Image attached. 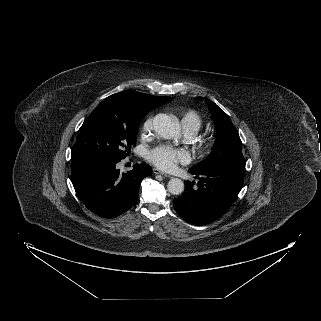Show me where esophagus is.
<instances>
[{"instance_id": "1", "label": "esophagus", "mask_w": 321, "mask_h": 321, "mask_svg": "<svg viewBox=\"0 0 321 321\" xmlns=\"http://www.w3.org/2000/svg\"><path fill=\"white\" fill-rule=\"evenodd\" d=\"M153 173H154V174H159V175H162V176H165V177L168 176L166 173L160 171V170L157 169V168H154V169H153ZM168 177H169V176H168Z\"/></svg>"}]
</instances>
